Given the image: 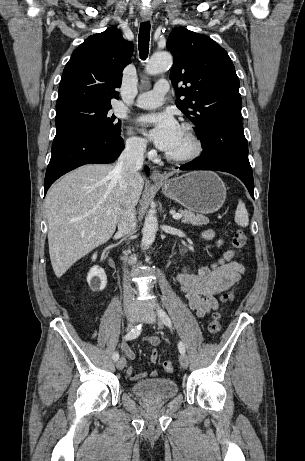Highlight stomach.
<instances>
[{"instance_id":"1","label":"stomach","mask_w":305,"mask_h":461,"mask_svg":"<svg viewBox=\"0 0 305 461\" xmlns=\"http://www.w3.org/2000/svg\"><path fill=\"white\" fill-rule=\"evenodd\" d=\"M157 185L166 197L200 214L218 211L226 199L225 184L212 171L188 172Z\"/></svg>"}]
</instances>
